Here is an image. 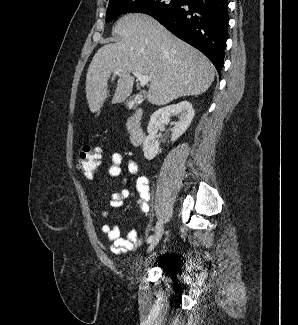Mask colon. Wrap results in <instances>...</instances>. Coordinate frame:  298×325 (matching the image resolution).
<instances>
[{
    "label": "colon",
    "mask_w": 298,
    "mask_h": 325,
    "mask_svg": "<svg viewBox=\"0 0 298 325\" xmlns=\"http://www.w3.org/2000/svg\"><path fill=\"white\" fill-rule=\"evenodd\" d=\"M101 149L85 145L81 148L77 157L79 171L88 179H91L100 163Z\"/></svg>",
    "instance_id": "colon-1"
}]
</instances>
